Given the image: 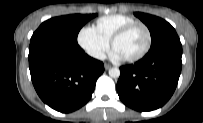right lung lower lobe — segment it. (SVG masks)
<instances>
[{
	"instance_id": "obj_1",
	"label": "right lung lower lobe",
	"mask_w": 203,
	"mask_h": 123,
	"mask_svg": "<svg viewBox=\"0 0 203 123\" xmlns=\"http://www.w3.org/2000/svg\"><path fill=\"white\" fill-rule=\"evenodd\" d=\"M28 57L37 94L48 106L63 113L75 111L89 101L104 71L103 63L85 54L78 44L31 40Z\"/></svg>"
}]
</instances>
